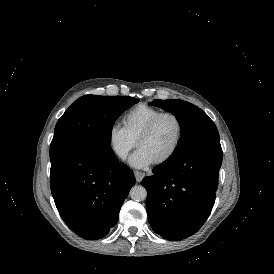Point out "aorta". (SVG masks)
<instances>
[{
	"mask_svg": "<svg viewBox=\"0 0 274 274\" xmlns=\"http://www.w3.org/2000/svg\"><path fill=\"white\" fill-rule=\"evenodd\" d=\"M129 194L134 201H143L147 198V191L142 185L133 186Z\"/></svg>",
	"mask_w": 274,
	"mask_h": 274,
	"instance_id": "762f6f07",
	"label": "aorta"
}]
</instances>
